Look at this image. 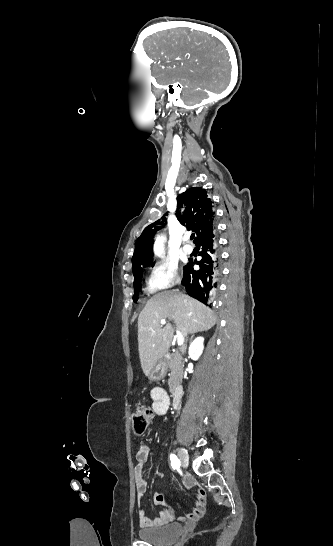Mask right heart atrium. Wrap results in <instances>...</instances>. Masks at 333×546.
Here are the masks:
<instances>
[{"mask_svg":"<svg viewBox=\"0 0 333 546\" xmlns=\"http://www.w3.org/2000/svg\"><path fill=\"white\" fill-rule=\"evenodd\" d=\"M180 282L179 269L176 263L164 260L152 267L146 281L149 293L170 289Z\"/></svg>","mask_w":333,"mask_h":546,"instance_id":"obj_1","label":"right heart atrium"}]
</instances>
